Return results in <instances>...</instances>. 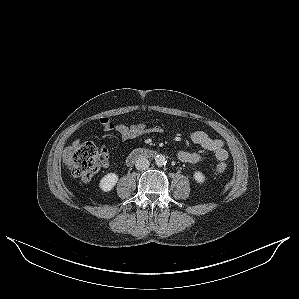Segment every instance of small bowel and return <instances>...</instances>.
<instances>
[{"label":"small bowel","instance_id":"small-bowel-1","mask_svg":"<svg viewBox=\"0 0 299 299\" xmlns=\"http://www.w3.org/2000/svg\"><path fill=\"white\" fill-rule=\"evenodd\" d=\"M99 122L105 131L117 132L122 140H130L147 134H160L163 132V128L159 125L149 127L145 123H136L127 126L122 123H114L107 117L100 118ZM190 140L193 143L200 145L203 149L213 152L218 161L227 160L228 151L225 149L224 141L222 139L211 138L204 131L197 130L190 134ZM77 142L78 141H75L74 143ZM101 152L106 157V162L103 165L106 167L109 158V151L106 145L101 146ZM177 157L181 162L188 164H196L203 160L202 154L185 150L179 151Z\"/></svg>","mask_w":299,"mask_h":299}]
</instances>
